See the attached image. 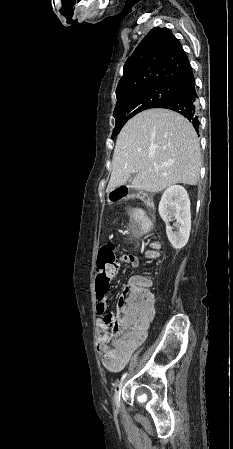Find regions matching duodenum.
I'll return each instance as SVG.
<instances>
[{
	"label": "duodenum",
	"mask_w": 233,
	"mask_h": 449,
	"mask_svg": "<svg viewBox=\"0 0 233 449\" xmlns=\"http://www.w3.org/2000/svg\"><path fill=\"white\" fill-rule=\"evenodd\" d=\"M113 197L109 199V204L111 206H124L126 204V195L135 196L138 199L143 200L146 204L149 203L148 199L146 197H143L141 195H138L134 192H132L131 186H117L114 188ZM137 217L139 221L142 223L144 227H147L149 224V218L146 213H137Z\"/></svg>",
	"instance_id": "410a0bca"
}]
</instances>
